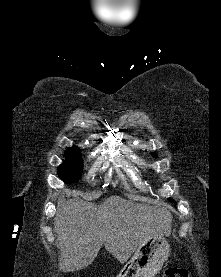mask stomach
Listing matches in <instances>:
<instances>
[{"label":"stomach","instance_id":"0dacf381","mask_svg":"<svg viewBox=\"0 0 221 277\" xmlns=\"http://www.w3.org/2000/svg\"><path fill=\"white\" fill-rule=\"evenodd\" d=\"M170 255L165 235L155 234L142 243L117 277H154Z\"/></svg>","mask_w":221,"mask_h":277}]
</instances>
